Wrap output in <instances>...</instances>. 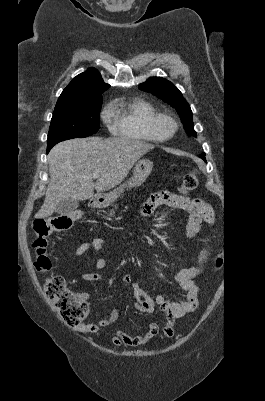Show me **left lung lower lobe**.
<instances>
[{
    "label": "left lung lower lobe",
    "mask_w": 265,
    "mask_h": 401,
    "mask_svg": "<svg viewBox=\"0 0 265 401\" xmlns=\"http://www.w3.org/2000/svg\"><path fill=\"white\" fill-rule=\"evenodd\" d=\"M204 155H205V154H202V155H201V157H203V160H205Z\"/></svg>",
    "instance_id": "0a47b994"
}]
</instances>
